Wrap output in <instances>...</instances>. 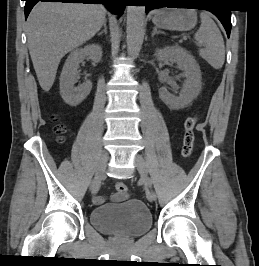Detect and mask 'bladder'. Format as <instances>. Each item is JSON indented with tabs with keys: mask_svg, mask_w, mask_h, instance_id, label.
<instances>
[{
	"mask_svg": "<svg viewBox=\"0 0 259 266\" xmlns=\"http://www.w3.org/2000/svg\"><path fill=\"white\" fill-rule=\"evenodd\" d=\"M90 222L99 232L121 237H139L152 227L148 207L138 199L120 205H102L90 212Z\"/></svg>",
	"mask_w": 259,
	"mask_h": 266,
	"instance_id": "obj_1",
	"label": "bladder"
}]
</instances>
